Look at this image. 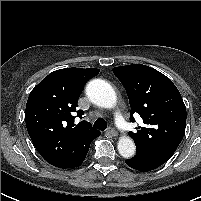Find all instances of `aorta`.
<instances>
[{
    "label": "aorta",
    "mask_w": 201,
    "mask_h": 201,
    "mask_svg": "<svg viewBox=\"0 0 201 201\" xmlns=\"http://www.w3.org/2000/svg\"><path fill=\"white\" fill-rule=\"evenodd\" d=\"M86 95L89 100L102 108H113L116 105L117 96L113 87L106 81L94 79L87 84ZM120 155L131 158L135 155L134 141L128 136H122L117 144Z\"/></svg>",
    "instance_id": "obj_1"
}]
</instances>
